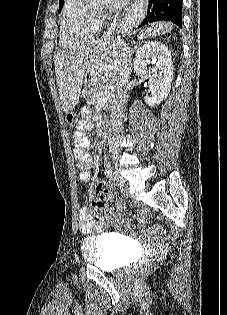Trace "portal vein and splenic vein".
<instances>
[{"label": "portal vein and splenic vein", "instance_id": "18ae733b", "mask_svg": "<svg viewBox=\"0 0 227 315\" xmlns=\"http://www.w3.org/2000/svg\"><path fill=\"white\" fill-rule=\"evenodd\" d=\"M108 90L109 89H104L94 94V96L98 99V102L102 101L106 93L109 92Z\"/></svg>", "mask_w": 227, "mask_h": 315}]
</instances>
